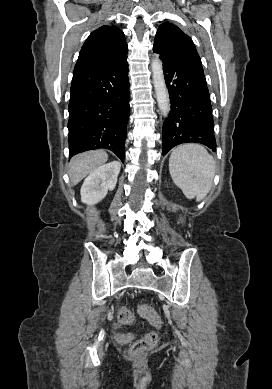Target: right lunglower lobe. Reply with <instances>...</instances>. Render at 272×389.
<instances>
[{"instance_id": "98d812e1", "label": "right lung lower lobe", "mask_w": 272, "mask_h": 389, "mask_svg": "<svg viewBox=\"0 0 272 389\" xmlns=\"http://www.w3.org/2000/svg\"><path fill=\"white\" fill-rule=\"evenodd\" d=\"M68 111L70 156L106 148L124 162L129 119L127 56L101 69L73 75Z\"/></svg>"}]
</instances>
